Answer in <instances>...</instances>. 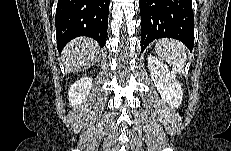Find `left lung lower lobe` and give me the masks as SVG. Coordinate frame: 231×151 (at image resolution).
Here are the masks:
<instances>
[{"mask_svg":"<svg viewBox=\"0 0 231 151\" xmlns=\"http://www.w3.org/2000/svg\"><path fill=\"white\" fill-rule=\"evenodd\" d=\"M141 51L158 38H175L192 50L194 14L191 0H139Z\"/></svg>","mask_w":231,"mask_h":151,"instance_id":"1","label":"left lung lower lobe"}]
</instances>
